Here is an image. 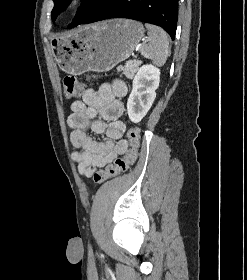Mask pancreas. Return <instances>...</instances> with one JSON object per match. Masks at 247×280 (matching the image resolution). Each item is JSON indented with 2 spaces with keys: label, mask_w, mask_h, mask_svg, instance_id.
<instances>
[{
  "label": "pancreas",
  "mask_w": 247,
  "mask_h": 280,
  "mask_svg": "<svg viewBox=\"0 0 247 280\" xmlns=\"http://www.w3.org/2000/svg\"><path fill=\"white\" fill-rule=\"evenodd\" d=\"M141 62L139 60H131L126 62L125 66H119L118 71H123V74L128 78L132 79L134 74L137 72Z\"/></svg>",
  "instance_id": "obj_1"
}]
</instances>
